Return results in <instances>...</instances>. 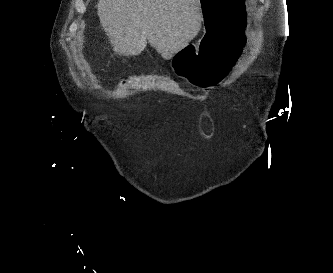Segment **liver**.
<instances>
[{
  "label": "liver",
  "mask_w": 333,
  "mask_h": 273,
  "mask_svg": "<svg viewBox=\"0 0 333 273\" xmlns=\"http://www.w3.org/2000/svg\"><path fill=\"white\" fill-rule=\"evenodd\" d=\"M97 14L116 54L135 56L148 43L169 60L198 34L200 0H99Z\"/></svg>",
  "instance_id": "1"
}]
</instances>
